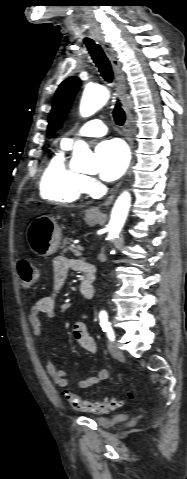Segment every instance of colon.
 I'll list each match as a JSON object with an SVG mask.
<instances>
[{
	"mask_svg": "<svg viewBox=\"0 0 187 479\" xmlns=\"http://www.w3.org/2000/svg\"><path fill=\"white\" fill-rule=\"evenodd\" d=\"M17 272L19 284L23 289H30L38 282L39 273L37 269L25 258L18 260ZM64 395L72 408L81 412L107 413L125 403V400L119 398L104 401L83 400L69 391H65Z\"/></svg>",
	"mask_w": 187,
	"mask_h": 479,
	"instance_id": "colon-1",
	"label": "colon"
}]
</instances>
